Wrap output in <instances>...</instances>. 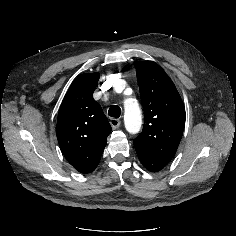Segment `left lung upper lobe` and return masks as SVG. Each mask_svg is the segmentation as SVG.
<instances>
[{
    "mask_svg": "<svg viewBox=\"0 0 236 236\" xmlns=\"http://www.w3.org/2000/svg\"><path fill=\"white\" fill-rule=\"evenodd\" d=\"M137 79L145 124L134 140L136 152L165 162L174 157L185 127V107L169 76L155 62L138 64Z\"/></svg>",
    "mask_w": 236,
    "mask_h": 236,
    "instance_id": "obj_1",
    "label": "left lung upper lobe"
}]
</instances>
